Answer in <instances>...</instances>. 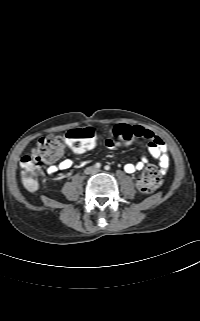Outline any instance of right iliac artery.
Here are the masks:
<instances>
[{
    "mask_svg": "<svg viewBox=\"0 0 200 321\" xmlns=\"http://www.w3.org/2000/svg\"><path fill=\"white\" fill-rule=\"evenodd\" d=\"M95 167L99 169L101 167V164L100 163H96Z\"/></svg>",
    "mask_w": 200,
    "mask_h": 321,
    "instance_id": "right-iliac-artery-1",
    "label": "right iliac artery"
}]
</instances>
